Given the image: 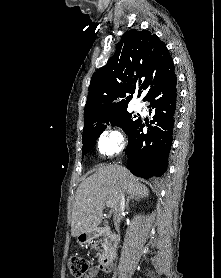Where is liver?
Returning <instances> with one entry per match:
<instances>
[{
  "mask_svg": "<svg viewBox=\"0 0 221 278\" xmlns=\"http://www.w3.org/2000/svg\"><path fill=\"white\" fill-rule=\"evenodd\" d=\"M148 197L149 190L128 169L119 165H102L79 185L71 216V235L95 230L102 221L107 202L114 212L119 195Z\"/></svg>",
  "mask_w": 221,
  "mask_h": 278,
  "instance_id": "liver-1",
  "label": "liver"
}]
</instances>
